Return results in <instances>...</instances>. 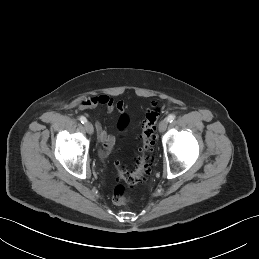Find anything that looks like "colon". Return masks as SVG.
<instances>
[{"mask_svg":"<svg viewBox=\"0 0 259 259\" xmlns=\"http://www.w3.org/2000/svg\"><path fill=\"white\" fill-rule=\"evenodd\" d=\"M159 115L160 108L156 103L152 104L146 110L142 133L140 136V155L136 160L135 169L133 171H129L123 168L119 162L115 163L118 179L124 181L130 187L136 186L150 171L151 160L148 153L156 142V123ZM128 124L129 117L126 114H122L118 119L117 128L119 131H123ZM128 199L129 195L127 188L122 184L116 185L112 193L113 202L115 204H124Z\"/></svg>","mask_w":259,"mask_h":259,"instance_id":"1","label":"colon"}]
</instances>
